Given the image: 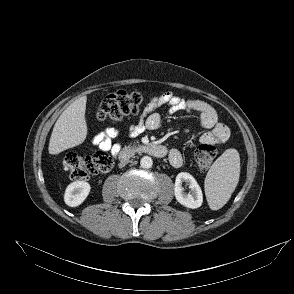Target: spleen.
<instances>
[{"label":"spleen","instance_id":"obj_1","mask_svg":"<svg viewBox=\"0 0 294 294\" xmlns=\"http://www.w3.org/2000/svg\"><path fill=\"white\" fill-rule=\"evenodd\" d=\"M240 175L236 149H227L211 166L205 178V193L212 210L222 208L234 192Z\"/></svg>","mask_w":294,"mask_h":294}]
</instances>
